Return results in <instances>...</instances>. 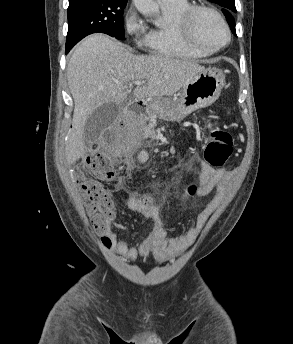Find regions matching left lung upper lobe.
I'll use <instances>...</instances> for the list:
<instances>
[{
    "label": "left lung upper lobe",
    "instance_id": "left-lung-upper-lobe-1",
    "mask_svg": "<svg viewBox=\"0 0 293 344\" xmlns=\"http://www.w3.org/2000/svg\"><path fill=\"white\" fill-rule=\"evenodd\" d=\"M209 1L218 4L223 9V13L225 14L227 18V21L229 23V26L232 32L236 34L235 22L232 17V15L236 12L234 0H209Z\"/></svg>",
    "mask_w": 293,
    "mask_h": 344
}]
</instances>
